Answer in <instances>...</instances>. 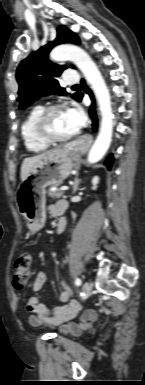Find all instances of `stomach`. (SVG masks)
Wrapping results in <instances>:
<instances>
[{
	"instance_id": "obj_1",
	"label": "stomach",
	"mask_w": 145,
	"mask_h": 385,
	"mask_svg": "<svg viewBox=\"0 0 145 385\" xmlns=\"http://www.w3.org/2000/svg\"><path fill=\"white\" fill-rule=\"evenodd\" d=\"M72 168L73 156L69 147L56 148L36 162L28 177L19 184L16 203L31 233L43 228L46 221V187L62 183Z\"/></svg>"
}]
</instances>
